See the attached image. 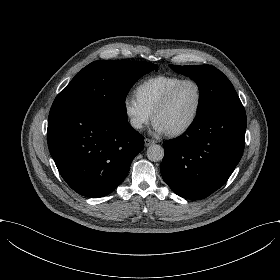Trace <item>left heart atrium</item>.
Here are the masks:
<instances>
[{
    "mask_svg": "<svg viewBox=\"0 0 280 280\" xmlns=\"http://www.w3.org/2000/svg\"><path fill=\"white\" fill-rule=\"evenodd\" d=\"M153 133L156 135H162L169 132L167 126L159 119H155L152 125Z\"/></svg>",
    "mask_w": 280,
    "mask_h": 280,
    "instance_id": "obj_1",
    "label": "left heart atrium"
}]
</instances>
